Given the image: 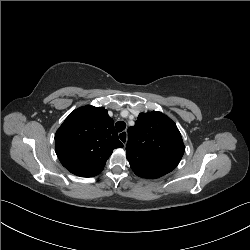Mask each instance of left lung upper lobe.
Listing matches in <instances>:
<instances>
[{
	"label": "left lung upper lobe",
	"mask_w": 250,
	"mask_h": 250,
	"mask_svg": "<svg viewBox=\"0 0 250 250\" xmlns=\"http://www.w3.org/2000/svg\"><path fill=\"white\" fill-rule=\"evenodd\" d=\"M128 129L127 159L134 173L142 177V163L152 160V169L163 175L180 162L185 146L176 124L161 112L140 113Z\"/></svg>",
	"instance_id": "obj_1"
}]
</instances>
